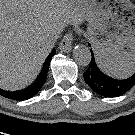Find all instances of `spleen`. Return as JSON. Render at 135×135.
Returning a JSON list of instances; mask_svg holds the SVG:
<instances>
[{"mask_svg": "<svg viewBox=\"0 0 135 135\" xmlns=\"http://www.w3.org/2000/svg\"><path fill=\"white\" fill-rule=\"evenodd\" d=\"M97 60L103 71L116 78H126L135 72V54L125 53L106 61L97 57Z\"/></svg>", "mask_w": 135, "mask_h": 135, "instance_id": "3e777b00", "label": "spleen"}]
</instances>
